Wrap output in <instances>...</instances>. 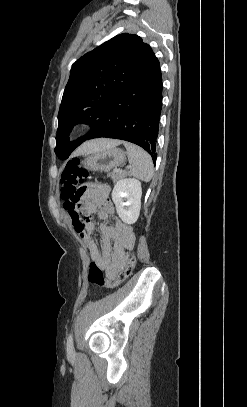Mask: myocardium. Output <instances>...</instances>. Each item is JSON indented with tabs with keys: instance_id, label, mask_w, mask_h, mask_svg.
I'll use <instances>...</instances> for the list:
<instances>
[{
	"instance_id": "1",
	"label": "myocardium",
	"mask_w": 247,
	"mask_h": 407,
	"mask_svg": "<svg viewBox=\"0 0 247 407\" xmlns=\"http://www.w3.org/2000/svg\"><path fill=\"white\" fill-rule=\"evenodd\" d=\"M87 129V125L84 123H78L76 125H74L70 131H69V136L70 137H77L79 136L81 133H83L85 130Z\"/></svg>"
}]
</instances>
